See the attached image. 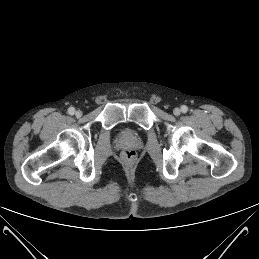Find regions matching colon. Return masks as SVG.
I'll return each instance as SVG.
<instances>
[{
  "instance_id": "5ec220e1",
  "label": "colon",
  "mask_w": 259,
  "mask_h": 259,
  "mask_svg": "<svg viewBox=\"0 0 259 259\" xmlns=\"http://www.w3.org/2000/svg\"><path fill=\"white\" fill-rule=\"evenodd\" d=\"M122 157L125 161L127 162H132L135 157H136V154L134 151L132 150H125L123 153H122Z\"/></svg>"
}]
</instances>
